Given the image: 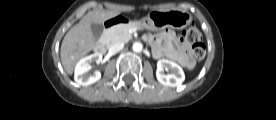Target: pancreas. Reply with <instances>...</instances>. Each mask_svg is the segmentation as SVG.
Instances as JSON below:
<instances>
[{"label": "pancreas", "mask_w": 276, "mask_h": 120, "mask_svg": "<svg viewBox=\"0 0 276 120\" xmlns=\"http://www.w3.org/2000/svg\"><path fill=\"white\" fill-rule=\"evenodd\" d=\"M139 26L136 23L131 24H119L106 31L107 44H113L117 42H127L132 38L129 33V29Z\"/></svg>", "instance_id": "1"}]
</instances>
